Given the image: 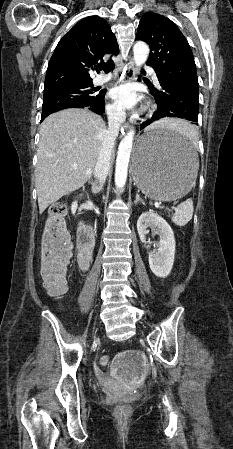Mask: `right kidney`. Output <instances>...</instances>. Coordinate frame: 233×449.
Segmentation results:
<instances>
[{
    "label": "right kidney",
    "instance_id": "ca27d5eb",
    "mask_svg": "<svg viewBox=\"0 0 233 449\" xmlns=\"http://www.w3.org/2000/svg\"><path fill=\"white\" fill-rule=\"evenodd\" d=\"M77 207H78L77 201H74L72 203V205H71V212H72V214H74L76 212Z\"/></svg>",
    "mask_w": 233,
    "mask_h": 449
}]
</instances>
